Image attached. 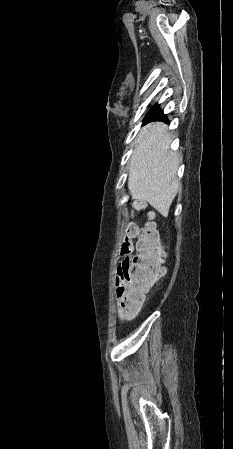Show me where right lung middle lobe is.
<instances>
[{
  "instance_id": "obj_1",
  "label": "right lung middle lobe",
  "mask_w": 233,
  "mask_h": 449,
  "mask_svg": "<svg viewBox=\"0 0 233 449\" xmlns=\"http://www.w3.org/2000/svg\"><path fill=\"white\" fill-rule=\"evenodd\" d=\"M159 113H161V111H159V105L156 104L146 115L144 122L150 120L151 118H153L154 116L158 115Z\"/></svg>"
}]
</instances>
